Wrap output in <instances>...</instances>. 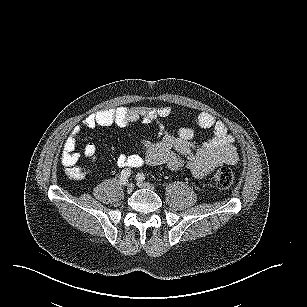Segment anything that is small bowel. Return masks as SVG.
<instances>
[{"label":"small bowel","instance_id":"1","mask_svg":"<svg viewBox=\"0 0 307 307\" xmlns=\"http://www.w3.org/2000/svg\"><path fill=\"white\" fill-rule=\"evenodd\" d=\"M172 114L170 106L156 108L135 106L116 109L99 110L85 117L81 125L73 129L66 138L61 154V162L65 166L75 164L80 154L76 150L77 137L81 129H94L116 125L125 127L131 122L143 121L158 125V140L144 144L143 155L120 154L116 159L119 168L133 169L143 164L164 165L172 170H188L197 178L206 177L216 167L238 162V153L234 145L235 138L228 132L226 124L217 120L208 112H201L195 117V123L203 129H211L212 134L201 144L194 142V131L182 127L176 132L167 130L162 119ZM84 155L95 166L97 150L95 145L88 144Z\"/></svg>","mask_w":307,"mask_h":307}]
</instances>
